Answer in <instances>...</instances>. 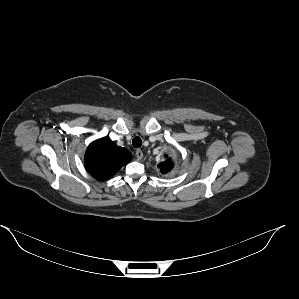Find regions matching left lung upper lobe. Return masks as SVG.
Returning a JSON list of instances; mask_svg holds the SVG:
<instances>
[{
	"mask_svg": "<svg viewBox=\"0 0 299 299\" xmlns=\"http://www.w3.org/2000/svg\"><path fill=\"white\" fill-rule=\"evenodd\" d=\"M159 168H160V171L161 173H167L168 171H170V169L172 168V163L170 162V159H167L166 161L164 162H161L159 164Z\"/></svg>",
	"mask_w": 299,
	"mask_h": 299,
	"instance_id": "1",
	"label": "left lung upper lobe"
}]
</instances>
